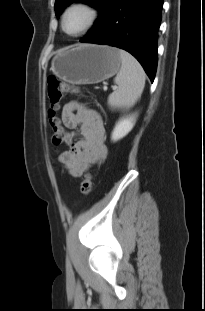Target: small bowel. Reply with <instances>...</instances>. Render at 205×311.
<instances>
[{"instance_id":"small-bowel-1","label":"small bowel","mask_w":205,"mask_h":311,"mask_svg":"<svg viewBox=\"0 0 205 311\" xmlns=\"http://www.w3.org/2000/svg\"><path fill=\"white\" fill-rule=\"evenodd\" d=\"M62 122L68 129V149L59 155V162L72 176L80 177L89 167L106 158L104 122L98 112L77 101H70L64 106Z\"/></svg>"}]
</instances>
